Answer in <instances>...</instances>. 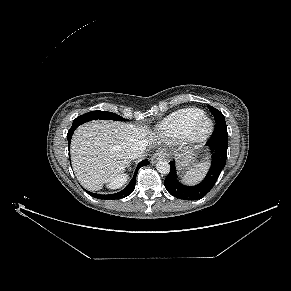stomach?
I'll list each match as a JSON object with an SVG mask.
<instances>
[{"mask_svg":"<svg viewBox=\"0 0 291 291\" xmlns=\"http://www.w3.org/2000/svg\"><path fill=\"white\" fill-rule=\"evenodd\" d=\"M176 159L178 169L180 170L189 167L194 162L193 154L190 152L179 154Z\"/></svg>","mask_w":291,"mask_h":291,"instance_id":"1","label":"stomach"}]
</instances>
